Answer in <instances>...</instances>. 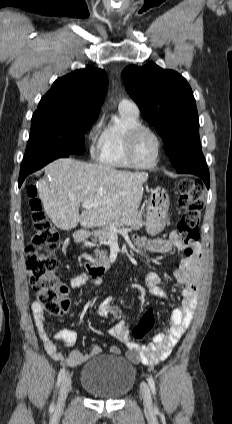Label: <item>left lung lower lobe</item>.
Segmentation results:
<instances>
[{
	"label": "left lung lower lobe",
	"instance_id": "obj_1",
	"mask_svg": "<svg viewBox=\"0 0 232 424\" xmlns=\"http://www.w3.org/2000/svg\"><path fill=\"white\" fill-rule=\"evenodd\" d=\"M178 173H190L199 176L209 188V170L201 147L194 152L176 169Z\"/></svg>",
	"mask_w": 232,
	"mask_h": 424
}]
</instances>
